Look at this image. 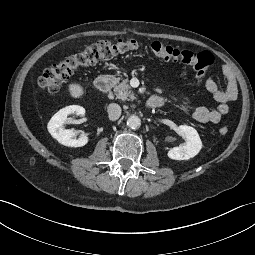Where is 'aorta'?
Returning a JSON list of instances; mask_svg holds the SVG:
<instances>
[{
	"label": "aorta",
	"instance_id": "aorta-1",
	"mask_svg": "<svg viewBox=\"0 0 255 255\" xmlns=\"http://www.w3.org/2000/svg\"><path fill=\"white\" fill-rule=\"evenodd\" d=\"M127 126L131 129H137L141 126V119L136 115H131L127 119Z\"/></svg>",
	"mask_w": 255,
	"mask_h": 255
}]
</instances>
